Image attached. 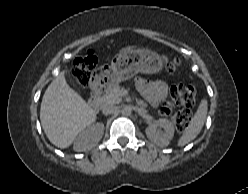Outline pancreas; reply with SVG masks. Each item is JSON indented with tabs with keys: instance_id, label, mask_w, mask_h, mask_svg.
<instances>
[{
	"instance_id": "pancreas-1",
	"label": "pancreas",
	"mask_w": 248,
	"mask_h": 194,
	"mask_svg": "<svg viewBox=\"0 0 248 194\" xmlns=\"http://www.w3.org/2000/svg\"><path fill=\"white\" fill-rule=\"evenodd\" d=\"M122 89L118 86L109 90L100 98L101 104L106 106L108 104H118L122 101Z\"/></svg>"
}]
</instances>
